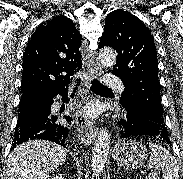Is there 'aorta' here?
<instances>
[{"mask_svg":"<svg viewBox=\"0 0 183 179\" xmlns=\"http://www.w3.org/2000/svg\"><path fill=\"white\" fill-rule=\"evenodd\" d=\"M101 63L106 67H112L116 63V53L111 48H103L99 52ZM110 149V134L106 128H102L95 142L92 154V170L96 176L103 172Z\"/></svg>","mask_w":183,"mask_h":179,"instance_id":"aorta-1","label":"aorta"}]
</instances>
